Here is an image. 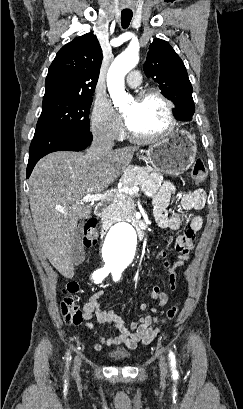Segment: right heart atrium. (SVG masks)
<instances>
[{
	"label": "right heart atrium",
	"mask_w": 243,
	"mask_h": 409,
	"mask_svg": "<svg viewBox=\"0 0 243 409\" xmlns=\"http://www.w3.org/2000/svg\"><path fill=\"white\" fill-rule=\"evenodd\" d=\"M92 135L103 142L113 143L122 136V129L106 101H97L90 117Z\"/></svg>",
	"instance_id": "obj_1"
}]
</instances>
